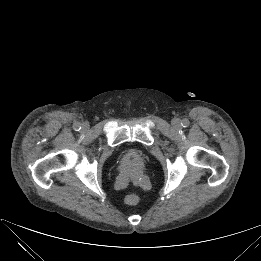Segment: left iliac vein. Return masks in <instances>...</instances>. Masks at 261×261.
Masks as SVG:
<instances>
[{
  "label": "left iliac vein",
  "mask_w": 261,
  "mask_h": 261,
  "mask_svg": "<svg viewBox=\"0 0 261 261\" xmlns=\"http://www.w3.org/2000/svg\"><path fill=\"white\" fill-rule=\"evenodd\" d=\"M172 125L175 127V128H179L180 127V120L179 119H173L172 121Z\"/></svg>",
  "instance_id": "left-iliac-vein-1"
}]
</instances>
